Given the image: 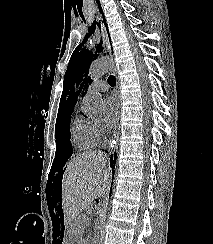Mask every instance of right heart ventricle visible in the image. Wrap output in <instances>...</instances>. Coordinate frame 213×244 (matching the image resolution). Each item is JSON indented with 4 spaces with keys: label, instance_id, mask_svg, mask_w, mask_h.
Here are the masks:
<instances>
[{
    "label": "right heart ventricle",
    "instance_id": "obj_1",
    "mask_svg": "<svg viewBox=\"0 0 213 244\" xmlns=\"http://www.w3.org/2000/svg\"><path fill=\"white\" fill-rule=\"evenodd\" d=\"M71 141L78 150L94 148L98 140L93 130L92 121L76 117L71 124Z\"/></svg>",
    "mask_w": 213,
    "mask_h": 244
}]
</instances>
